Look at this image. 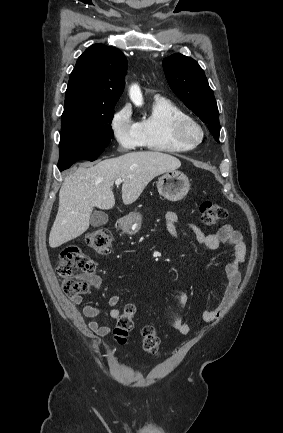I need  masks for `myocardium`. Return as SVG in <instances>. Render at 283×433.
<instances>
[{
  "instance_id": "myocardium-1",
  "label": "myocardium",
  "mask_w": 283,
  "mask_h": 433,
  "mask_svg": "<svg viewBox=\"0 0 283 433\" xmlns=\"http://www.w3.org/2000/svg\"><path fill=\"white\" fill-rule=\"evenodd\" d=\"M190 126L194 127L199 133L198 138L193 142H188L184 138V132ZM171 136L174 143L181 151H188L196 148L202 143L205 138V129L196 118L189 115L181 116L175 119L172 126Z\"/></svg>"
}]
</instances>
